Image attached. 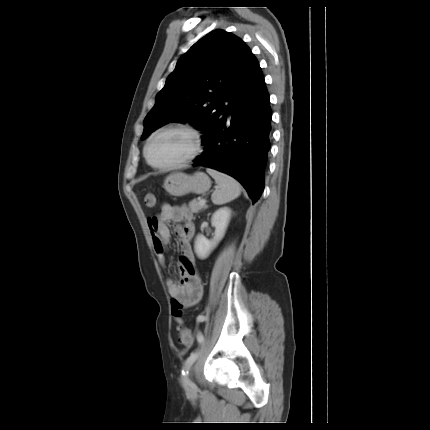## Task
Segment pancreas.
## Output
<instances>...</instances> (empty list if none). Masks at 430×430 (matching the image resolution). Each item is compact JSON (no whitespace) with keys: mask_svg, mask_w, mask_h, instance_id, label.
<instances>
[{"mask_svg":"<svg viewBox=\"0 0 430 430\" xmlns=\"http://www.w3.org/2000/svg\"><path fill=\"white\" fill-rule=\"evenodd\" d=\"M189 208L193 213H197L200 210L205 208V205H200L199 201L194 199L191 202H189Z\"/></svg>","mask_w":430,"mask_h":430,"instance_id":"obj_1","label":"pancreas"}]
</instances>
